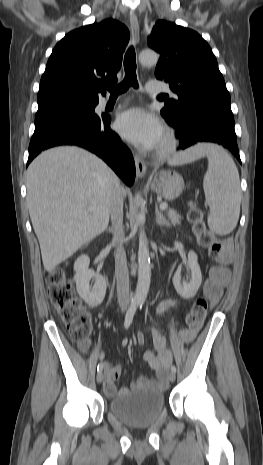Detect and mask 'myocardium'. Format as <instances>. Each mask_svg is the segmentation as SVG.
Listing matches in <instances>:
<instances>
[{"label":"myocardium","instance_id":"f54148a6","mask_svg":"<svg viewBox=\"0 0 263 465\" xmlns=\"http://www.w3.org/2000/svg\"><path fill=\"white\" fill-rule=\"evenodd\" d=\"M177 147V139L170 129L164 131L163 137L155 150V156L164 159L171 156Z\"/></svg>","mask_w":263,"mask_h":465}]
</instances>
